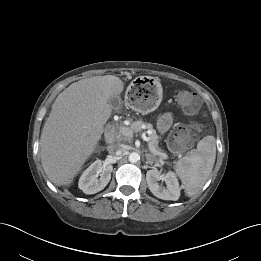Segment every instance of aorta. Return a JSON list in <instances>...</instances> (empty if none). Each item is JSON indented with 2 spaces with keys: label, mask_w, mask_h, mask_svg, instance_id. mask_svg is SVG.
<instances>
[{
  "label": "aorta",
  "mask_w": 261,
  "mask_h": 261,
  "mask_svg": "<svg viewBox=\"0 0 261 261\" xmlns=\"http://www.w3.org/2000/svg\"><path fill=\"white\" fill-rule=\"evenodd\" d=\"M128 160L131 163H136L140 160V155L137 152H132L129 154Z\"/></svg>",
  "instance_id": "aorta-1"
}]
</instances>
